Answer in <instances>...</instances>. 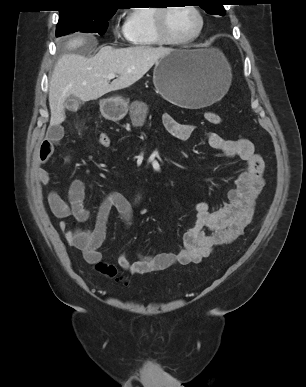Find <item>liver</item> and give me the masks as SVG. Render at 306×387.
Wrapping results in <instances>:
<instances>
[{
    "mask_svg": "<svg viewBox=\"0 0 306 387\" xmlns=\"http://www.w3.org/2000/svg\"><path fill=\"white\" fill-rule=\"evenodd\" d=\"M85 38L75 37L66 47L75 50L84 46ZM170 48L135 46L115 49L103 46L93 57L68 53L62 55L49 83L50 125L65 120L64 102L74 96L87 102L103 95L130 87L140 80L156 62L171 52ZM116 74L111 83L108 74Z\"/></svg>",
    "mask_w": 306,
    "mask_h": 387,
    "instance_id": "obj_1",
    "label": "liver"
}]
</instances>
